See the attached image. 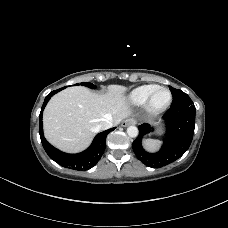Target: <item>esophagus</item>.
Masks as SVG:
<instances>
[{"instance_id": "obj_1", "label": "esophagus", "mask_w": 228, "mask_h": 228, "mask_svg": "<svg viewBox=\"0 0 228 228\" xmlns=\"http://www.w3.org/2000/svg\"><path fill=\"white\" fill-rule=\"evenodd\" d=\"M136 124V120L133 118H128L125 121L122 122L121 126L122 127H126L128 125H135Z\"/></svg>"}]
</instances>
